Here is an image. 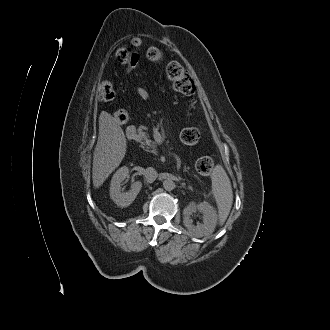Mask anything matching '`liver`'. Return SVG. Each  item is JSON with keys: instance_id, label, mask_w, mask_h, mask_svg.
Listing matches in <instances>:
<instances>
[{"instance_id": "liver-1", "label": "liver", "mask_w": 330, "mask_h": 330, "mask_svg": "<svg viewBox=\"0 0 330 330\" xmlns=\"http://www.w3.org/2000/svg\"><path fill=\"white\" fill-rule=\"evenodd\" d=\"M126 138L116 119L107 112L99 117V136L94 150L93 186H101L108 176L120 165L126 153Z\"/></svg>"}]
</instances>
